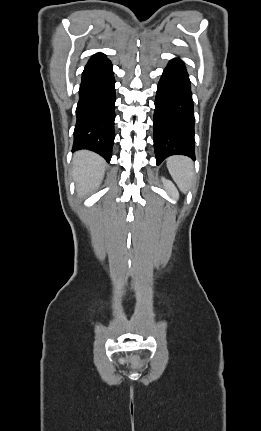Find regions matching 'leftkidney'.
<instances>
[{"label":"left kidney","mask_w":261,"mask_h":431,"mask_svg":"<svg viewBox=\"0 0 261 431\" xmlns=\"http://www.w3.org/2000/svg\"><path fill=\"white\" fill-rule=\"evenodd\" d=\"M162 181L164 183V186L166 188V190L168 191V193L175 199H178L179 195L177 190L175 189V187L173 186V184L169 181L166 180L165 178H162Z\"/></svg>","instance_id":"obj_1"}]
</instances>
